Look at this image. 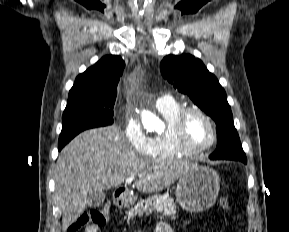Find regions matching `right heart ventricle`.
Listing matches in <instances>:
<instances>
[{
    "label": "right heart ventricle",
    "mask_w": 289,
    "mask_h": 232,
    "mask_svg": "<svg viewBox=\"0 0 289 232\" xmlns=\"http://www.w3.org/2000/svg\"><path fill=\"white\" fill-rule=\"evenodd\" d=\"M182 108L183 106L173 99L167 105L157 108L166 122V128L151 138V156L158 158H176L193 154L182 148L173 134V122Z\"/></svg>",
    "instance_id": "1"
}]
</instances>
